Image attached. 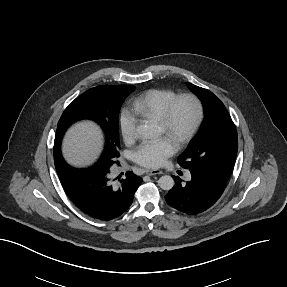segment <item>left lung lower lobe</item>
<instances>
[{
  "label": "left lung lower lobe",
  "mask_w": 287,
  "mask_h": 287,
  "mask_svg": "<svg viewBox=\"0 0 287 287\" xmlns=\"http://www.w3.org/2000/svg\"><path fill=\"white\" fill-rule=\"evenodd\" d=\"M190 172L192 179L186 184L173 176L175 185L165 200L173 208L194 215L207 210L220 198L228 180L209 171L191 169Z\"/></svg>",
  "instance_id": "0a47b994"
}]
</instances>
